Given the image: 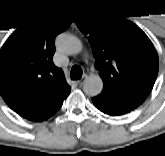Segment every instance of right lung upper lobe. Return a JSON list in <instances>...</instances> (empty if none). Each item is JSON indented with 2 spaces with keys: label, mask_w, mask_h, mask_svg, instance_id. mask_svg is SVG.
<instances>
[{
  "label": "right lung upper lobe",
  "mask_w": 165,
  "mask_h": 156,
  "mask_svg": "<svg viewBox=\"0 0 165 156\" xmlns=\"http://www.w3.org/2000/svg\"><path fill=\"white\" fill-rule=\"evenodd\" d=\"M71 20L45 19L16 30L0 50V94L31 121L51 117L70 94L64 72L53 63L55 37Z\"/></svg>",
  "instance_id": "cb5924a9"
}]
</instances>
